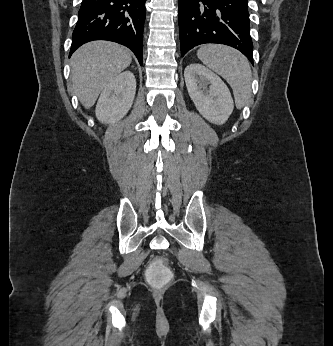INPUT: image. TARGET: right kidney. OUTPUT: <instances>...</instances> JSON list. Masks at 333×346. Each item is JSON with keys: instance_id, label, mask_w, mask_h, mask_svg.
I'll use <instances>...</instances> for the list:
<instances>
[{"instance_id": "ca27d5eb", "label": "right kidney", "mask_w": 333, "mask_h": 346, "mask_svg": "<svg viewBox=\"0 0 333 346\" xmlns=\"http://www.w3.org/2000/svg\"><path fill=\"white\" fill-rule=\"evenodd\" d=\"M136 93V79L125 71L113 78L103 89L96 105L97 119L106 124L121 120L130 110Z\"/></svg>"}]
</instances>
